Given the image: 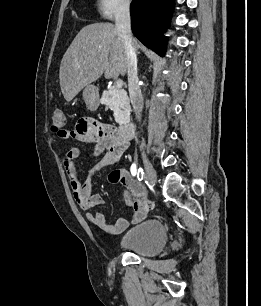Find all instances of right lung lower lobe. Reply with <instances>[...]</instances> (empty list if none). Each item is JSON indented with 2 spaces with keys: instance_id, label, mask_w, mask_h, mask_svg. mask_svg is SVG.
I'll list each match as a JSON object with an SVG mask.
<instances>
[{
  "instance_id": "obj_1",
  "label": "right lung lower lobe",
  "mask_w": 261,
  "mask_h": 306,
  "mask_svg": "<svg viewBox=\"0 0 261 306\" xmlns=\"http://www.w3.org/2000/svg\"><path fill=\"white\" fill-rule=\"evenodd\" d=\"M173 7V0H133L130 7L134 35L161 56L167 43L163 33L169 25Z\"/></svg>"
}]
</instances>
